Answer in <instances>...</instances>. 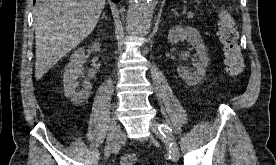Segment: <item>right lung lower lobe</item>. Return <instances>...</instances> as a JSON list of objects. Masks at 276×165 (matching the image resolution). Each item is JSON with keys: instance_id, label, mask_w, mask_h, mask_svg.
<instances>
[{"instance_id": "1", "label": "right lung lower lobe", "mask_w": 276, "mask_h": 165, "mask_svg": "<svg viewBox=\"0 0 276 165\" xmlns=\"http://www.w3.org/2000/svg\"><path fill=\"white\" fill-rule=\"evenodd\" d=\"M35 1H36V0H34V3H35ZM112 1H114V2H119V1H121V0H112Z\"/></svg>"}]
</instances>
